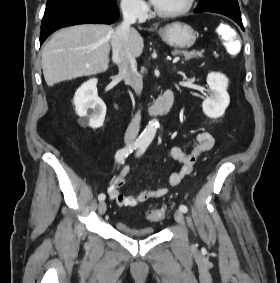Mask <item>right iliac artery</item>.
<instances>
[{
    "label": "right iliac artery",
    "instance_id": "right-iliac-artery-1",
    "mask_svg": "<svg viewBox=\"0 0 280 283\" xmlns=\"http://www.w3.org/2000/svg\"><path fill=\"white\" fill-rule=\"evenodd\" d=\"M142 145L140 142H134L120 150H118L115 154V159L118 163H124L125 158L133 152V150L139 148ZM106 196L104 193L99 194L98 200L103 201L105 200Z\"/></svg>",
    "mask_w": 280,
    "mask_h": 283
}]
</instances>
